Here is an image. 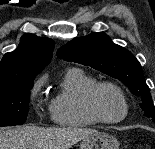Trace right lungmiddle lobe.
Masks as SVG:
<instances>
[{
	"instance_id": "1",
	"label": "right lung middle lobe",
	"mask_w": 155,
	"mask_h": 149,
	"mask_svg": "<svg viewBox=\"0 0 155 149\" xmlns=\"http://www.w3.org/2000/svg\"><path fill=\"white\" fill-rule=\"evenodd\" d=\"M35 76L0 78V127L22 125Z\"/></svg>"
}]
</instances>
